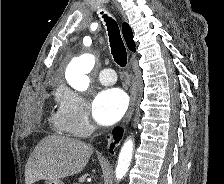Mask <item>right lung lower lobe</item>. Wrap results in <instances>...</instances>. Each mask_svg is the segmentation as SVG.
I'll use <instances>...</instances> for the list:
<instances>
[{
    "label": "right lung lower lobe",
    "mask_w": 224,
    "mask_h": 184,
    "mask_svg": "<svg viewBox=\"0 0 224 184\" xmlns=\"http://www.w3.org/2000/svg\"><path fill=\"white\" fill-rule=\"evenodd\" d=\"M122 129L121 128H116L114 131H113V137L115 139V141H119L122 137ZM116 143V142H115ZM115 143H112L111 144V149H110V152H112V149L114 148L115 146Z\"/></svg>",
    "instance_id": "obj_1"
}]
</instances>
